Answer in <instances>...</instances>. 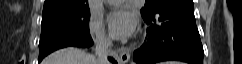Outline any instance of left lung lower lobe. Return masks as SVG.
I'll return each instance as SVG.
<instances>
[{
    "label": "left lung lower lobe",
    "mask_w": 242,
    "mask_h": 64,
    "mask_svg": "<svg viewBox=\"0 0 242 64\" xmlns=\"http://www.w3.org/2000/svg\"><path fill=\"white\" fill-rule=\"evenodd\" d=\"M142 17L149 28L144 44L133 54L138 64L162 61L203 64L204 51L196 27L193 0H168Z\"/></svg>",
    "instance_id": "0a47b994"
}]
</instances>
